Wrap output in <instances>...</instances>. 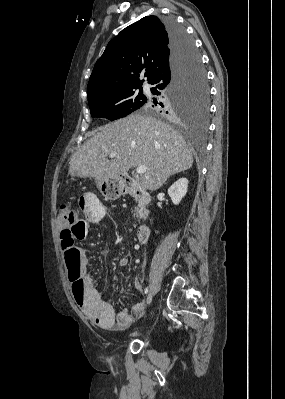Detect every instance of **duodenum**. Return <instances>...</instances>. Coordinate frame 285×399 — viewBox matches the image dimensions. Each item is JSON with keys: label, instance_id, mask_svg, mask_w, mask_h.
Returning a JSON list of instances; mask_svg holds the SVG:
<instances>
[{"label": "duodenum", "instance_id": "duodenum-1", "mask_svg": "<svg viewBox=\"0 0 285 399\" xmlns=\"http://www.w3.org/2000/svg\"><path fill=\"white\" fill-rule=\"evenodd\" d=\"M125 190L128 195L137 199L142 205L150 204L151 198L143 191L141 186L134 183H126ZM151 224L152 220L150 211L146 210L137 231V240L140 243H145L148 241L151 234Z\"/></svg>", "mask_w": 285, "mask_h": 399}]
</instances>
